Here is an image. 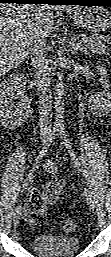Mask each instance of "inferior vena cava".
I'll return each instance as SVG.
<instances>
[{
  "instance_id": "obj_1",
  "label": "inferior vena cava",
  "mask_w": 111,
  "mask_h": 257,
  "mask_svg": "<svg viewBox=\"0 0 111 257\" xmlns=\"http://www.w3.org/2000/svg\"><path fill=\"white\" fill-rule=\"evenodd\" d=\"M47 34L39 32L34 37L30 54L32 65L34 68V75L37 81L39 105H40V118L39 124L41 130H49L51 127L52 118V102L51 90L49 81V68L47 62L48 48H47Z\"/></svg>"
}]
</instances>
